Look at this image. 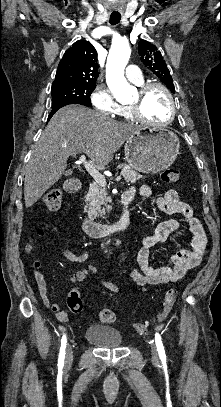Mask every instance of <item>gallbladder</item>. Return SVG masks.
Instances as JSON below:
<instances>
[{
  "instance_id": "gallbladder-1",
  "label": "gallbladder",
  "mask_w": 221,
  "mask_h": 407,
  "mask_svg": "<svg viewBox=\"0 0 221 407\" xmlns=\"http://www.w3.org/2000/svg\"><path fill=\"white\" fill-rule=\"evenodd\" d=\"M70 174H71L70 170L66 171V175H70Z\"/></svg>"
}]
</instances>
